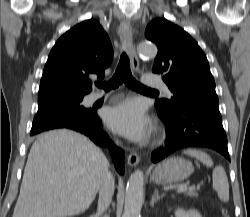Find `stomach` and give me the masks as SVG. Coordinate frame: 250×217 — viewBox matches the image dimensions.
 <instances>
[{
  "label": "stomach",
  "instance_id": "stomach-1",
  "mask_svg": "<svg viewBox=\"0 0 250 217\" xmlns=\"http://www.w3.org/2000/svg\"><path fill=\"white\" fill-rule=\"evenodd\" d=\"M194 171L190 161L172 157L158 164L152 172L151 180L157 184L181 182L187 179Z\"/></svg>",
  "mask_w": 250,
  "mask_h": 217
}]
</instances>
